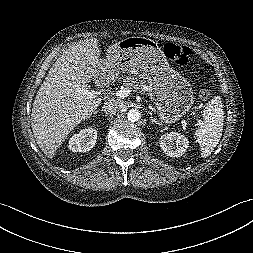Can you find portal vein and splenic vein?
I'll list each match as a JSON object with an SVG mask.
<instances>
[{
    "mask_svg": "<svg viewBox=\"0 0 253 253\" xmlns=\"http://www.w3.org/2000/svg\"><path fill=\"white\" fill-rule=\"evenodd\" d=\"M79 91L81 93H83L84 95H86L88 99L95 98L96 94H97L95 91H91V90H88V89H80ZM130 93H131V89H129V88H122V89L118 90L115 94H116V96H118L120 98H125V97H128L130 95ZM198 122H200V120ZM181 123H182L183 127L186 126V122L185 121H182Z\"/></svg>",
    "mask_w": 253,
    "mask_h": 253,
    "instance_id": "obj_1",
    "label": "portal vein and splenic vein"
}]
</instances>
